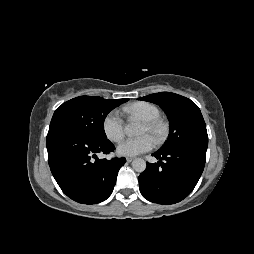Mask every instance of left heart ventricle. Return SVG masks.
<instances>
[{"label":"left heart ventricle","mask_w":254,"mask_h":254,"mask_svg":"<svg viewBox=\"0 0 254 254\" xmlns=\"http://www.w3.org/2000/svg\"><path fill=\"white\" fill-rule=\"evenodd\" d=\"M140 134L142 135H149L154 139V132L150 130L146 125L142 124Z\"/></svg>","instance_id":"obj_1"}]
</instances>
